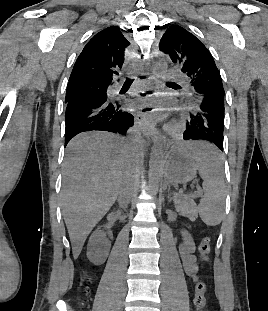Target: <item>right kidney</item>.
Here are the masks:
<instances>
[{
    "instance_id": "obj_1",
    "label": "right kidney",
    "mask_w": 268,
    "mask_h": 311,
    "mask_svg": "<svg viewBox=\"0 0 268 311\" xmlns=\"http://www.w3.org/2000/svg\"><path fill=\"white\" fill-rule=\"evenodd\" d=\"M110 251V241L106 239V233L95 230L89 238L87 257L95 265L103 264Z\"/></svg>"
}]
</instances>
